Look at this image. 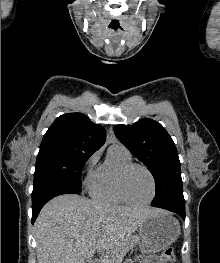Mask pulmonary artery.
Listing matches in <instances>:
<instances>
[{"label": "pulmonary artery", "instance_id": "pulmonary-artery-1", "mask_svg": "<svg viewBox=\"0 0 220 263\" xmlns=\"http://www.w3.org/2000/svg\"><path fill=\"white\" fill-rule=\"evenodd\" d=\"M117 146H119L120 148H122V149L127 151V149L124 146H122V145H117Z\"/></svg>", "mask_w": 220, "mask_h": 263}]
</instances>
